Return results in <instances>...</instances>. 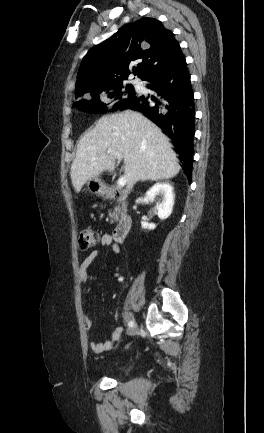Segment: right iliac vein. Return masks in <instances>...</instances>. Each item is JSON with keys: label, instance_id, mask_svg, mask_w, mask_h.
I'll use <instances>...</instances> for the list:
<instances>
[{"label": "right iliac vein", "instance_id": "1", "mask_svg": "<svg viewBox=\"0 0 264 433\" xmlns=\"http://www.w3.org/2000/svg\"><path fill=\"white\" fill-rule=\"evenodd\" d=\"M136 333V325H134L130 330H129V335H134Z\"/></svg>", "mask_w": 264, "mask_h": 433}]
</instances>
